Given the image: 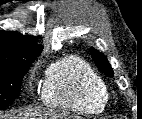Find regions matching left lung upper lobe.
I'll return each instance as SVG.
<instances>
[{"label": "left lung upper lobe", "instance_id": "1", "mask_svg": "<svg viewBox=\"0 0 142 119\" xmlns=\"http://www.w3.org/2000/svg\"><path fill=\"white\" fill-rule=\"evenodd\" d=\"M90 53L96 66L109 77H113V70L104 54L94 48L90 49Z\"/></svg>", "mask_w": 142, "mask_h": 119}]
</instances>
